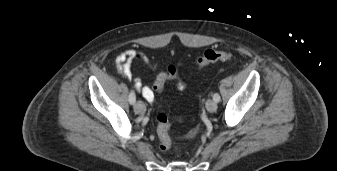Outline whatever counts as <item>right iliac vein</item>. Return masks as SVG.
Segmentation results:
<instances>
[{
  "mask_svg": "<svg viewBox=\"0 0 337 171\" xmlns=\"http://www.w3.org/2000/svg\"><path fill=\"white\" fill-rule=\"evenodd\" d=\"M134 111L137 114L143 115L146 112V107H145L144 103L142 101H137L134 104Z\"/></svg>",
  "mask_w": 337,
  "mask_h": 171,
  "instance_id": "1",
  "label": "right iliac vein"
}]
</instances>
